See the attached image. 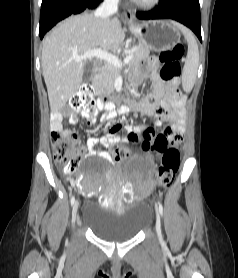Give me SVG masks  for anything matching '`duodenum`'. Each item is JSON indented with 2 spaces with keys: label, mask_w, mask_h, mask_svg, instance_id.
<instances>
[{
  "label": "duodenum",
  "mask_w": 238,
  "mask_h": 278,
  "mask_svg": "<svg viewBox=\"0 0 238 278\" xmlns=\"http://www.w3.org/2000/svg\"><path fill=\"white\" fill-rule=\"evenodd\" d=\"M100 72V68L99 67H94L93 71H92V75L93 77H96Z\"/></svg>",
  "instance_id": "1"
}]
</instances>
